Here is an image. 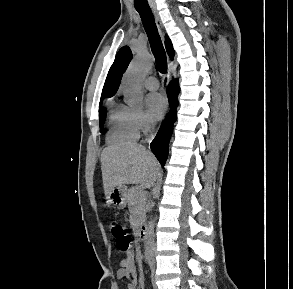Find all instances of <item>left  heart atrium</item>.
Listing matches in <instances>:
<instances>
[{"label":"left heart atrium","mask_w":293,"mask_h":289,"mask_svg":"<svg viewBox=\"0 0 293 289\" xmlns=\"http://www.w3.org/2000/svg\"><path fill=\"white\" fill-rule=\"evenodd\" d=\"M148 113L153 120L161 119L167 110V102L159 93H152L146 100Z\"/></svg>","instance_id":"39dd6f15"}]
</instances>
